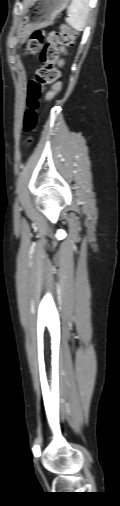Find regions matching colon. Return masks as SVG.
<instances>
[{
    "mask_svg": "<svg viewBox=\"0 0 120 506\" xmlns=\"http://www.w3.org/2000/svg\"><path fill=\"white\" fill-rule=\"evenodd\" d=\"M77 32L67 26H62L54 36V39L44 43L42 31L31 34L26 53L33 55L40 53V66L37 68L35 78L28 84L27 109L24 117V129L28 133L36 130L38 125L37 109L42 96L44 85L54 83L59 77V71L55 68L61 46H70L74 43Z\"/></svg>",
    "mask_w": 120,
    "mask_h": 506,
    "instance_id": "obj_1",
    "label": "colon"
}]
</instances>
